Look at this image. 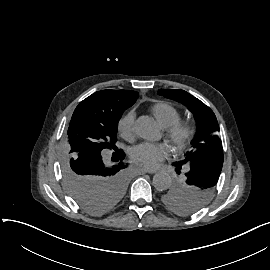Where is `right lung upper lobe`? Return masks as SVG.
<instances>
[{
  "mask_svg": "<svg viewBox=\"0 0 270 270\" xmlns=\"http://www.w3.org/2000/svg\"><path fill=\"white\" fill-rule=\"evenodd\" d=\"M139 93L131 90H102L92 96L99 105L106 110L112 111L117 115H122L123 111L137 100Z\"/></svg>",
  "mask_w": 270,
  "mask_h": 270,
  "instance_id": "obj_1",
  "label": "right lung upper lobe"
}]
</instances>
